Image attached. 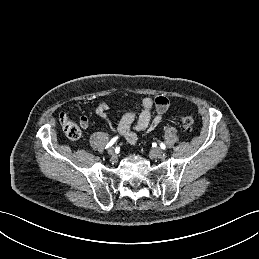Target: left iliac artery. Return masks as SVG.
I'll list each match as a JSON object with an SVG mask.
<instances>
[{
    "mask_svg": "<svg viewBox=\"0 0 259 259\" xmlns=\"http://www.w3.org/2000/svg\"><path fill=\"white\" fill-rule=\"evenodd\" d=\"M160 147H161L162 149H165V148H166V146H165L164 143H161V144H160Z\"/></svg>",
    "mask_w": 259,
    "mask_h": 259,
    "instance_id": "obj_1",
    "label": "left iliac artery"
}]
</instances>
